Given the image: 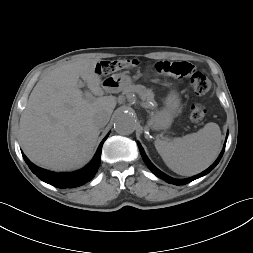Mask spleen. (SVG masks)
Instances as JSON below:
<instances>
[{
    "label": "spleen",
    "mask_w": 253,
    "mask_h": 253,
    "mask_svg": "<svg viewBox=\"0 0 253 253\" xmlns=\"http://www.w3.org/2000/svg\"><path fill=\"white\" fill-rule=\"evenodd\" d=\"M218 124L209 122L196 133L173 141L155 140V148L165 164L182 176L198 174L209 167L221 149Z\"/></svg>",
    "instance_id": "spleen-1"
}]
</instances>
